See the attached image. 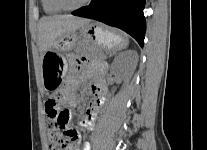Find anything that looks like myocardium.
I'll list each match as a JSON object with an SVG mask.
<instances>
[{"label":"myocardium","instance_id":"1","mask_svg":"<svg viewBox=\"0 0 207 150\" xmlns=\"http://www.w3.org/2000/svg\"><path fill=\"white\" fill-rule=\"evenodd\" d=\"M53 3L55 4V6L57 8H59L61 11H75L78 10L80 8L85 7L86 5H88L92 0H84L81 3H79L78 5L75 6H68L66 5L63 0H52Z\"/></svg>","mask_w":207,"mask_h":150}]
</instances>
